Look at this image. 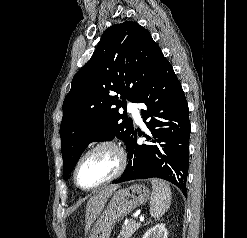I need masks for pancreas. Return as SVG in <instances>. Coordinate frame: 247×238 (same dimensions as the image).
<instances>
[{
	"label": "pancreas",
	"instance_id": "pancreas-1",
	"mask_svg": "<svg viewBox=\"0 0 247 238\" xmlns=\"http://www.w3.org/2000/svg\"><path fill=\"white\" fill-rule=\"evenodd\" d=\"M140 226V223L130 220L126 225H122L118 238H130L140 228Z\"/></svg>",
	"mask_w": 247,
	"mask_h": 238
}]
</instances>
